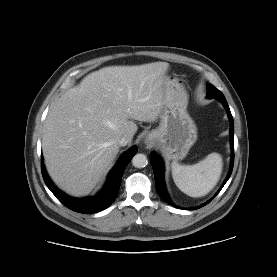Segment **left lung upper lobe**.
Here are the masks:
<instances>
[{
	"mask_svg": "<svg viewBox=\"0 0 277 277\" xmlns=\"http://www.w3.org/2000/svg\"><path fill=\"white\" fill-rule=\"evenodd\" d=\"M207 96L209 98H216L219 101L226 100L223 93L215 88L212 84H208Z\"/></svg>",
	"mask_w": 277,
	"mask_h": 277,
	"instance_id": "1",
	"label": "left lung upper lobe"
}]
</instances>
